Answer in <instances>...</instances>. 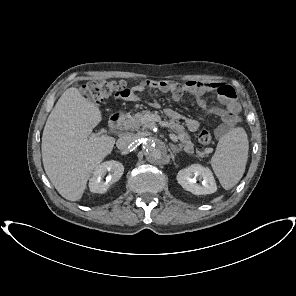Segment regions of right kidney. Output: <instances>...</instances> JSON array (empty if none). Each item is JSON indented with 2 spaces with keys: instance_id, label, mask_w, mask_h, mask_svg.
Listing matches in <instances>:
<instances>
[{
  "instance_id": "ca27d5eb",
  "label": "right kidney",
  "mask_w": 296,
  "mask_h": 296,
  "mask_svg": "<svg viewBox=\"0 0 296 296\" xmlns=\"http://www.w3.org/2000/svg\"><path fill=\"white\" fill-rule=\"evenodd\" d=\"M124 171L123 165L115 160H110L96 166L89 180V188L93 193H105L108 188L117 182ZM107 172H111L104 180Z\"/></svg>"
}]
</instances>
